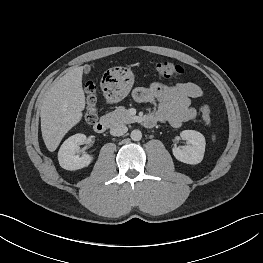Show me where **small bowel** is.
Listing matches in <instances>:
<instances>
[{
  "label": "small bowel",
  "instance_id": "obj_1",
  "mask_svg": "<svg viewBox=\"0 0 263 263\" xmlns=\"http://www.w3.org/2000/svg\"><path fill=\"white\" fill-rule=\"evenodd\" d=\"M203 96L202 89L194 83L176 82L167 85L152 83L147 87H138L133 91V98L139 103H148L154 107L150 115L157 121L180 127L194 119L196 110L191 107L193 99Z\"/></svg>",
  "mask_w": 263,
  "mask_h": 263
}]
</instances>
